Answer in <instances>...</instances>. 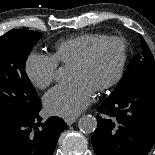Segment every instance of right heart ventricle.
Masks as SVG:
<instances>
[{
    "mask_svg": "<svg viewBox=\"0 0 155 155\" xmlns=\"http://www.w3.org/2000/svg\"><path fill=\"white\" fill-rule=\"evenodd\" d=\"M104 37L103 34L87 32L61 40L55 44L52 56L58 63L72 66L92 44Z\"/></svg>",
    "mask_w": 155,
    "mask_h": 155,
    "instance_id": "obj_1",
    "label": "right heart ventricle"
}]
</instances>
